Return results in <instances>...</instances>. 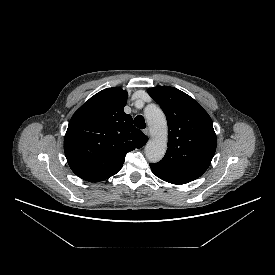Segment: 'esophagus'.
<instances>
[{
    "instance_id": "1",
    "label": "esophagus",
    "mask_w": 275,
    "mask_h": 275,
    "mask_svg": "<svg viewBox=\"0 0 275 275\" xmlns=\"http://www.w3.org/2000/svg\"><path fill=\"white\" fill-rule=\"evenodd\" d=\"M144 134L150 136V130L148 128L144 129Z\"/></svg>"
}]
</instances>
